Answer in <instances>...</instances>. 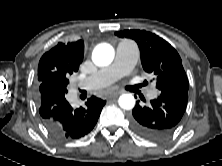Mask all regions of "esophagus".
<instances>
[{
    "label": "esophagus",
    "instance_id": "34e87169",
    "mask_svg": "<svg viewBox=\"0 0 222 166\" xmlns=\"http://www.w3.org/2000/svg\"><path fill=\"white\" fill-rule=\"evenodd\" d=\"M122 93V91H115V92H111L107 95L108 98H115L117 96H119Z\"/></svg>",
    "mask_w": 222,
    "mask_h": 166
}]
</instances>
